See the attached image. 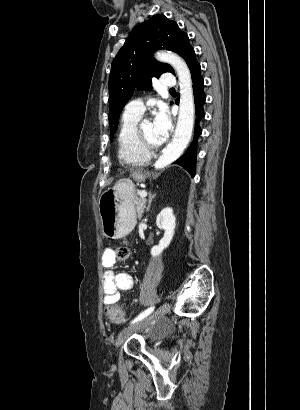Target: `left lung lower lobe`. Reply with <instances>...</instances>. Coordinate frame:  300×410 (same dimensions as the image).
Masks as SVG:
<instances>
[{
    "mask_svg": "<svg viewBox=\"0 0 300 410\" xmlns=\"http://www.w3.org/2000/svg\"><path fill=\"white\" fill-rule=\"evenodd\" d=\"M187 65L192 75L195 110H196L195 111L196 121H195V128H194V138L188 150L185 152V154L182 155L178 160H176L175 163L183 166L192 176H194L195 175V165H196L197 140L202 132L199 126V122L205 116L203 105L205 103L206 96L204 93V81L201 76V66L196 60L195 53L192 54Z\"/></svg>",
    "mask_w": 300,
    "mask_h": 410,
    "instance_id": "obj_1",
    "label": "left lung lower lobe"
}]
</instances>
